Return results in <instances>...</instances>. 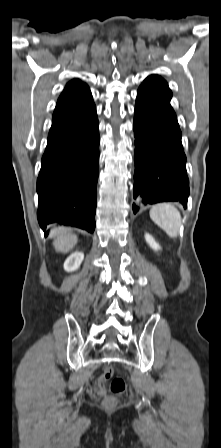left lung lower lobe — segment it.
Listing matches in <instances>:
<instances>
[{
  "instance_id": "1",
  "label": "left lung lower lobe",
  "mask_w": 221,
  "mask_h": 448,
  "mask_svg": "<svg viewBox=\"0 0 221 448\" xmlns=\"http://www.w3.org/2000/svg\"><path fill=\"white\" fill-rule=\"evenodd\" d=\"M171 97L139 87L135 104L134 197L144 204L178 201L187 207L189 180L181 130ZM139 207L133 204L136 213Z\"/></svg>"
}]
</instances>
